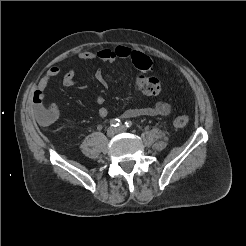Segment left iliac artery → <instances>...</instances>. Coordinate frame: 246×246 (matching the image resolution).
<instances>
[{
  "label": "left iliac artery",
  "instance_id": "obj_1",
  "mask_svg": "<svg viewBox=\"0 0 246 246\" xmlns=\"http://www.w3.org/2000/svg\"><path fill=\"white\" fill-rule=\"evenodd\" d=\"M132 125H133V123H132L131 121H126V122H125V126H126L127 128L132 127Z\"/></svg>",
  "mask_w": 246,
  "mask_h": 246
}]
</instances>
